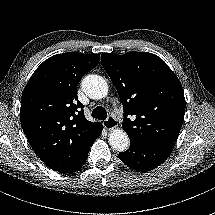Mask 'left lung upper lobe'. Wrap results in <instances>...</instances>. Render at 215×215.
I'll use <instances>...</instances> for the list:
<instances>
[{
  "label": "left lung upper lobe",
  "instance_id": "obj_1",
  "mask_svg": "<svg viewBox=\"0 0 215 215\" xmlns=\"http://www.w3.org/2000/svg\"><path fill=\"white\" fill-rule=\"evenodd\" d=\"M101 63L122 100V128L130 140L174 143L186 103L182 85L169 66L159 56L143 52L103 53Z\"/></svg>",
  "mask_w": 215,
  "mask_h": 215
}]
</instances>
